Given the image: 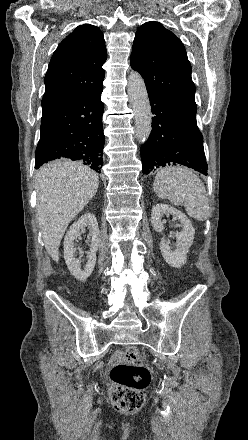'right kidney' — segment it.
Listing matches in <instances>:
<instances>
[{
	"label": "right kidney",
	"instance_id": "right-kidney-1",
	"mask_svg": "<svg viewBox=\"0 0 248 440\" xmlns=\"http://www.w3.org/2000/svg\"><path fill=\"white\" fill-rule=\"evenodd\" d=\"M86 227L90 230L91 245L87 264L84 268H81L78 260L75 258L74 240L80 236V232ZM99 242L98 223L96 217L91 213L82 215L67 231L64 239V259L69 271L77 280L85 282L91 275L96 264V252Z\"/></svg>",
	"mask_w": 248,
	"mask_h": 440
}]
</instances>
